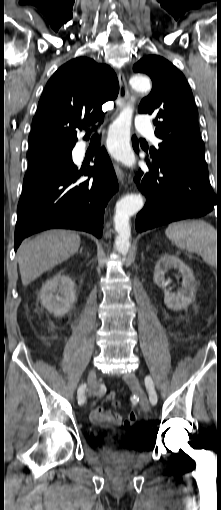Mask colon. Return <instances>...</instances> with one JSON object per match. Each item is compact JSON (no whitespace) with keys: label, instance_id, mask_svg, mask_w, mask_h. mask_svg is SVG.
<instances>
[{"label":"colon","instance_id":"1","mask_svg":"<svg viewBox=\"0 0 221 510\" xmlns=\"http://www.w3.org/2000/svg\"><path fill=\"white\" fill-rule=\"evenodd\" d=\"M107 397H108L109 400L113 401L116 406L119 405V402H117L115 400V397H116L115 392H113V391L109 392ZM136 419H137L136 413L131 411V412L128 413L127 417L125 418L124 425L125 426H131V425H133L136 422Z\"/></svg>","mask_w":221,"mask_h":510}]
</instances>
